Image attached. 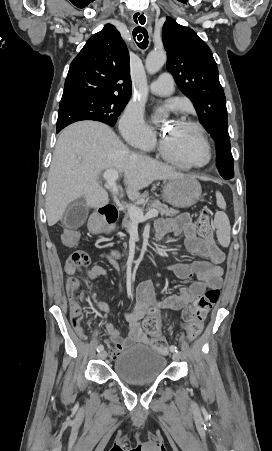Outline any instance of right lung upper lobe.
I'll list each match as a JSON object with an SVG mask.
<instances>
[{"mask_svg": "<svg viewBox=\"0 0 272 451\" xmlns=\"http://www.w3.org/2000/svg\"><path fill=\"white\" fill-rule=\"evenodd\" d=\"M129 53L111 24L94 34L72 61L61 100L84 96L130 99Z\"/></svg>", "mask_w": 272, "mask_h": 451, "instance_id": "obj_1", "label": "right lung upper lobe"}]
</instances>
